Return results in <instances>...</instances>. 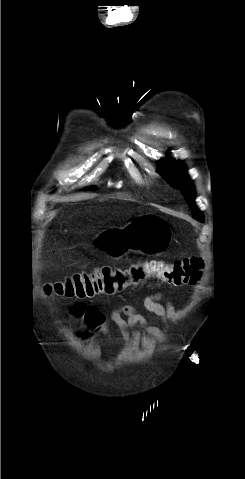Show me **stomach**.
<instances>
[{"label": "stomach", "instance_id": "stomach-1", "mask_svg": "<svg viewBox=\"0 0 245 479\" xmlns=\"http://www.w3.org/2000/svg\"><path fill=\"white\" fill-rule=\"evenodd\" d=\"M169 223L157 214H145L123 228L109 229L99 234L92 245L113 259H120L129 251L150 256L159 255L171 242Z\"/></svg>", "mask_w": 245, "mask_h": 479}]
</instances>
